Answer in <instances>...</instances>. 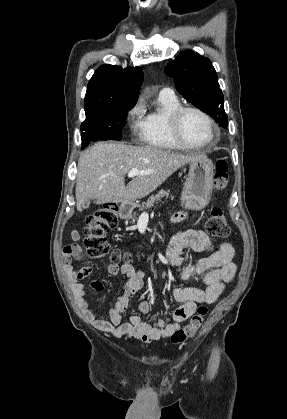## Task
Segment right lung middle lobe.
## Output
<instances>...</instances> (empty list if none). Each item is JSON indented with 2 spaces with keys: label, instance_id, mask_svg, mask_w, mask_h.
Here are the masks:
<instances>
[{
  "label": "right lung middle lobe",
  "instance_id": "dd1d6c3e",
  "mask_svg": "<svg viewBox=\"0 0 287 419\" xmlns=\"http://www.w3.org/2000/svg\"><path fill=\"white\" fill-rule=\"evenodd\" d=\"M134 105H118L86 113V119L81 124L82 149L90 141L121 140L127 113Z\"/></svg>",
  "mask_w": 287,
  "mask_h": 419
}]
</instances>
